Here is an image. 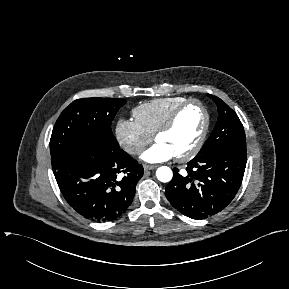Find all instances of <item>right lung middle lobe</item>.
Segmentation results:
<instances>
[{
	"label": "right lung middle lobe",
	"mask_w": 289,
	"mask_h": 289,
	"mask_svg": "<svg viewBox=\"0 0 289 289\" xmlns=\"http://www.w3.org/2000/svg\"><path fill=\"white\" fill-rule=\"evenodd\" d=\"M126 104L120 98H83L65 108L50 139L52 168L79 149L99 144L112 150L120 149L111 131L118 110Z\"/></svg>",
	"instance_id": "1"
}]
</instances>
